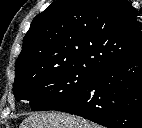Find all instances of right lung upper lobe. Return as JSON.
I'll return each instance as SVG.
<instances>
[{
	"instance_id": "1",
	"label": "right lung upper lobe",
	"mask_w": 142,
	"mask_h": 128,
	"mask_svg": "<svg viewBox=\"0 0 142 128\" xmlns=\"http://www.w3.org/2000/svg\"><path fill=\"white\" fill-rule=\"evenodd\" d=\"M141 53L142 35L127 0H56L33 19L15 79L73 65L97 73Z\"/></svg>"
}]
</instances>
